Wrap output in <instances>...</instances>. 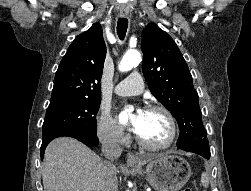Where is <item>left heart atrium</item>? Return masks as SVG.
I'll return each instance as SVG.
<instances>
[{
	"label": "left heart atrium",
	"mask_w": 251,
	"mask_h": 191,
	"mask_svg": "<svg viewBox=\"0 0 251 191\" xmlns=\"http://www.w3.org/2000/svg\"><path fill=\"white\" fill-rule=\"evenodd\" d=\"M146 110L141 108V107H137L131 117L129 126L131 128L132 131L138 133V131L140 130L141 126H142V122L144 120V117L146 115Z\"/></svg>",
	"instance_id": "39dd6f15"
}]
</instances>
